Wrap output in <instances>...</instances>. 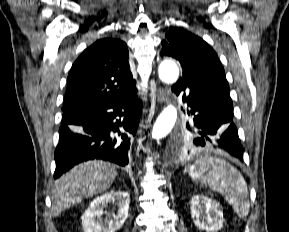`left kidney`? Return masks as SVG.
Returning <instances> with one entry per match:
<instances>
[{
  "label": "left kidney",
  "instance_id": "5707ae66",
  "mask_svg": "<svg viewBox=\"0 0 289 232\" xmlns=\"http://www.w3.org/2000/svg\"><path fill=\"white\" fill-rule=\"evenodd\" d=\"M195 226L207 232H217L223 227V211L220 204L205 195H193L190 201Z\"/></svg>",
  "mask_w": 289,
  "mask_h": 232
}]
</instances>
